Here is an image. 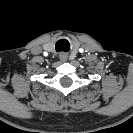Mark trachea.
<instances>
[{"label":"trachea","mask_w":133,"mask_h":133,"mask_svg":"<svg viewBox=\"0 0 133 133\" xmlns=\"http://www.w3.org/2000/svg\"><path fill=\"white\" fill-rule=\"evenodd\" d=\"M55 49L57 52L60 51L67 52L69 50V42L65 39H61L56 43Z\"/></svg>","instance_id":"obj_1"}]
</instances>
